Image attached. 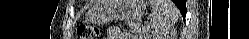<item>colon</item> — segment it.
Instances as JSON below:
<instances>
[{
    "instance_id": "colon-1",
    "label": "colon",
    "mask_w": 249,
    "mask_h": 39,
    "mask_svg": "<svg viewBox=\"0 0 249 39\" xmlns=\"http://www.w3.org/2000/svg\"><path fill=\"white\" fill-rule=\"evenodd\" d=\"M77 33L80 39H96L99 36L98 29L87 23L80 24Z\"/></svg>"
}]
</instances>
